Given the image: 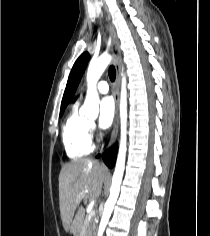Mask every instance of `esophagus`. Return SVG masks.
<instances>
[{
	"label": "esophagus",
	"mask_w": 210,
	"mask_h": 236,
	"mask_svg": "<svg viewBox=\"0 0 210 236\" xmlns=\"http://www.w3.org/2000/svg\"><path fill=\"white\" fill-rule=\"evenodd\" d=\"M107 20V28L109 30V33L111 35V41H112V53L115 58V67H116V83H115V116L113 121V129L111 133V138L109 142V148L115 143L117 135H118V127H119V87H120V60H121V51L119 47V41L115 32V29L113 25L110 23V20L108 17H106Z\"/></svg>",
	"instance_id": "obj_1"
}]
</instances>
